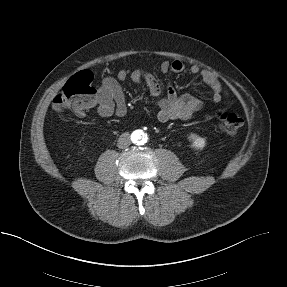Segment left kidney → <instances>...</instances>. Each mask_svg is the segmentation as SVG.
Returning a JSON list of instances; mask_svg holds the SVG:
<instances>
[{
  "label": "left kidney",
  "mask_w": 287,
  "mask_h": 287,
  "mask_svg": "<svg viewBox=\"0 0 287 287\" xmlns=\"http://www.w3.org/2000/svg\"><path fill=\"white\" fill-rule=\"evenodd\" d=\"M188 138L192 141V146L195 149H203L206 145V140L194 133L190 134Z\"/></svg>",
  "instance_id": "5707ae66"
}]
</instances>
